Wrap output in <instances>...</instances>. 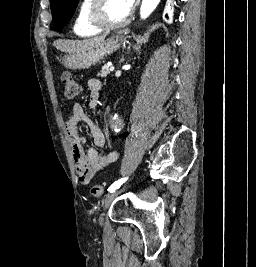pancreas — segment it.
<instances>
[{"mask_svg":"<svg viewBox=\"0 0 256 267\" xmlns=\"http://www.w3.org/2000/svg\"><path fill=\"white\" fill-rule=\"evenodd\" d=\"M108 74H110V70L109 68H107V66H103L102 70H101V74H99V76H108Z\"/></svg>","mask_w":256,"mask_h":267,"instance_id":"pancreas-1","label":"pancreas"}]
</instances>
